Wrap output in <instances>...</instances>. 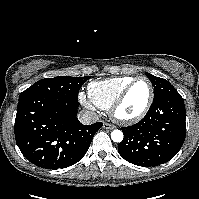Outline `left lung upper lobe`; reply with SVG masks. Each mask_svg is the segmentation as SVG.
Masks as SVG:
<instances>
[{"instance_id":"5c2ea615","label":"left lung upper lobe","mask_w":199,"mask_h":199,"mask_svg":"<svg viewBox=\"0 0 199 199\" xmlns=\"http://www.w3.org/2000/svg\"><path fill=\"white\" fill-rule=\"evenodd\" d=\"M146 75L154 86L155 93L153 101H157L163 97L179 94L167 80L156 77L150 73H146Z\"/></svg>"}]
</instances>
